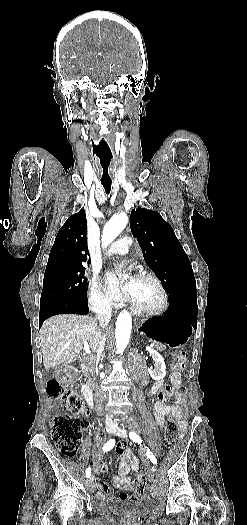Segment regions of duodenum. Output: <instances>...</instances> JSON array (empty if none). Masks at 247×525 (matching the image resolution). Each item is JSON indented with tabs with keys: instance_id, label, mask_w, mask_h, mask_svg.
<instances>
[{
	"instance_id": "410a0bca",
	"label": "duodenum",
	"mask_w": 247,
	"mask_h": 525,
	"mask_svg": "<svg viewBox=\"0 0 247 525\" xmlns=\"http://www.w3.org/2000/svg\"><path fill=\"white\" fill-rule=\"evenodd\" d=\"M84 370H85L84 360L82 358H77L70 363V370L66 374L76 376L82 373ZM81 390H82V394L84 396V399L88 407L93 409L95 402H94V395H93L90 385L87 382H82Z\"/></svg>"
}]
</instances>
